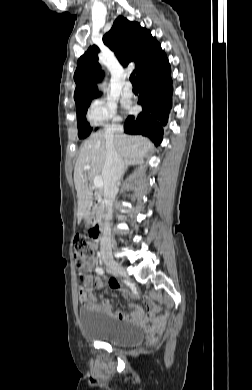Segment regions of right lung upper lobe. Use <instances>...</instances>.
I'll use <instances>...</instances> for the list:
<instances>
[{"label":"right lung upper lobe","mask_w":252,"mask_h":390,"mask_svg":"<svg viewBox=\"0 0 252 390\" xmlns=\"http://www.w3.org/2000/svg\"><path fill=\"white\" fill-rule=\"evenodd\" d=\"M103 42L116 54L122 65L135 63L138 81L142 76L156 73L170 65L165 52L151 33L122 16L114 21L111 30L104 35ZM98 52L97 46H91L77 62L74 73L76 108L100 95L96 83L103 78V72H98Z\"/></svg>","instance_id":"cb5924a9"}]
</instances>
